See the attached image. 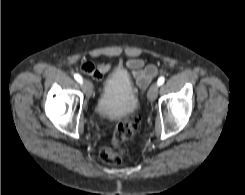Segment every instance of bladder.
I'll use <instances>...</instances> for the list:
<instances>
[{
  "instance_id": "1",
  "label": "bladder",
  "mask_w": 245,
  "mask_h": 195,
  "mask_svg": "<svg viewBox=\"0 0 245 195\" xmlns=\"http://www.w3.org/2000/svg\"><path fill=\"white\" fill-rule=\"evenodd\" d=\"M139 101L127 71L115 69L106 79L95 105L99 118L117 120L134 113Z\"/></svg>"
}]
</instances>
